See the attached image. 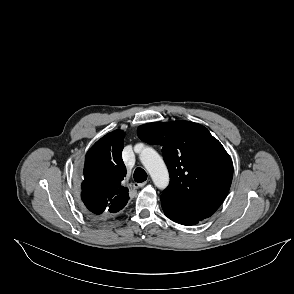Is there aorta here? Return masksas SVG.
Masks as SVG:
<instances>
[{
	"instance_id": "obj_1",
	"label": "aorta",
	"mask_w": 294,
	"mask_h": 294,
	"mask_svg": "<svg viewBox=\"0 0 294 294\" xmlns=\"http://www.w3.org/2000/svg\"><path fill=\"white\" fill-rule=\"evenodd\" d=\"M139 158L154 184L159 189L166 188L169 184V173L161 156L153 148L143 147Z\"/></svg>"
}]
</instances>
